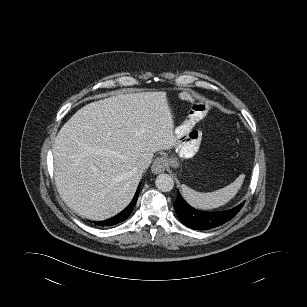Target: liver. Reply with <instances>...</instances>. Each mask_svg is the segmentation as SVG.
Returning <instances> with one entry per match:
<instances>
[{"label":"liver","instance_id":"6515ba94","mask_svg":"<svg viewBox=\"0 0 307 307\" xmlns=\"http://www.w3.org/2000/svg\"><path fill=\"white\" fill-rule=\"evenodd\" d=\"M165 92L121 94L79 109L55 138V182L62 200L82 217L105 220L132 200L155 152L176 145Z\"/></svg>","mask_w":307,"mask_h":307}]
</instances>
